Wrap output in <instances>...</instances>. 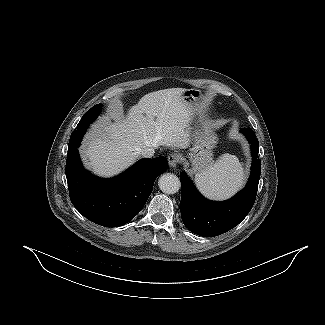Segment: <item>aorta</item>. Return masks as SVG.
<instances>
[{"mask_svg":"<svg viewBox=\"0 0 325 325\" xmlns=\"http://www.w3.org/2000/svg\"><path fill=\"white\" fill-rule=\"evenodd\" d=\"M158 186L163 193L174 194L180 189V180L174 174L164 173L158 180Z\"/></svg>","mask_w":325,"mask_h":325,"instance_id":"762f6f07","label":"aorta"}]
</instances>
